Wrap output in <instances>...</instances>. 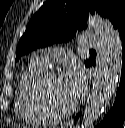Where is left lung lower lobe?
Here are the masks:
<instances>
[{"mask_svg": "<svg viewBox=\"0 0 125 128\" xmlns=\"http://www.w3.org/2000/svg\"><path fill=\"white\" fill-rule=\"evenodd\" d=\"M117 31L122 42V69L120 83L111 110L95 128H123L125 119V23L122 24ZM86 66H95V60H91ZM78 117L79 114L75 119Z\"/></svg>", "mask_w": 125, "mask_h": 128, "instance_id": "0a47b994", "label": "left lung lower lobe"}]
</instances>
